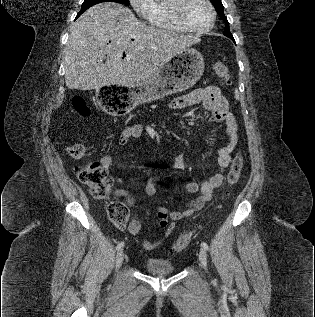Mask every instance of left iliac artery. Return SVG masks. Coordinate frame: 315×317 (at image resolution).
Here are the masks:
<instances>
[{
  "label": "left iliac artery",
  "instance_id": "left-iliac-artery-1",
  "mask_svg": "<svg viewBox=\"0 0 315 317\" xmlns=\"http://www.w3.org/2000/svg\"><path fill=\"white\" fill-rule=\"evenodd\" d=\"M201 246H202L205 250H208V249H209V247H208V245H207L206 242H202V243H201Z\"/></svg>",
  "mask_w": 315,
  "mask_h": 317
}]
</instances>
